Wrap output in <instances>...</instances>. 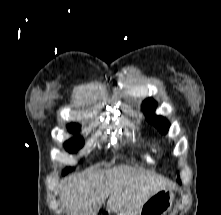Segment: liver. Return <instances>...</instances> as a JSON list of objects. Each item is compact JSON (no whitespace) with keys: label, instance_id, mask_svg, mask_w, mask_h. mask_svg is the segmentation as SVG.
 I'll return each mask as SVG.
<instances>
[{"label":"liver","instance_id":"obj_1","mask_svg":"<svg viewBox=\"0 0 221 215\" xmlns=\"http://www.w3.org/2000/svg\"><path fill=\"white\" fill-rule=\"evenodd\" d=\"M174 188L163 177L117 166L69 177L60 186V201L67 215H96L107 198L110 212H131L158 191Z\"/></svg>","mask_w":221,"mask_h":215}]
</instances>
